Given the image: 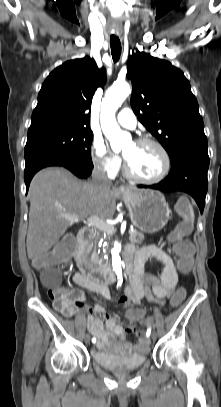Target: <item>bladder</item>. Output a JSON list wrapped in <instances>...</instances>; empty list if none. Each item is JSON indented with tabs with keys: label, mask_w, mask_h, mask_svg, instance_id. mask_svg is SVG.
<instances>
[{
	"label": "bladder",
	"mask_w": 221,
	"mask_h": 407,
	"mask_svg": "<svg viewBox=\"0 0 221 407\" xmlns=\"http://www.w3.org/2000/svg\"><path fill=\"white\" fill-rule=\"evenodd\" d=\"M147 350L124 355L117 351H102L93 349V361L102 368L110 371H127L140 368L147 361Z\"/></svg>",
	"instance_id": "bladder-1"
}]
</instances>
